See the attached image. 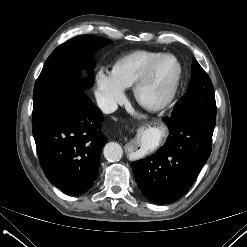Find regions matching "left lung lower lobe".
<instances>
[{
    "label": "left lung lower lobe",
    "instance_id": "left-lung-lower-lobe-1",
    "mask_svg": "<svg viewBox=\"0 0 247 247\" xmlns=\"http://www.w3.org/2000/svg\"><path fill=\"white\" fill-rule=\"evenodd\" d=\"M163 120L170 130L168 141L132 163L139 188L156 204L178 200L193 185L211 153L216 114L192 106Z\"/></svg>",
    "mask_w": 247,
    "mask_h": 247
}]
</instances>
